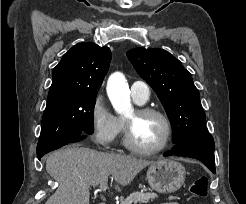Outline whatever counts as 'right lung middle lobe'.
<instances>
[{
  "label": "right lung middle lobe",
  "instance_id": "obj_1",
  "mask_svg": "<svg viewBox=\"0 0 246 204\" xmlns=\"http://www.w3.org/2000/svg\"><path fill=\"white\" fill-rule=\"evenodd\" d=\"M96 94L61 97L47 102L37 145V156L93 133Z\"/></svg>",
  "mask_w": 246,
  "mask_h": 204
}]
</instances>
